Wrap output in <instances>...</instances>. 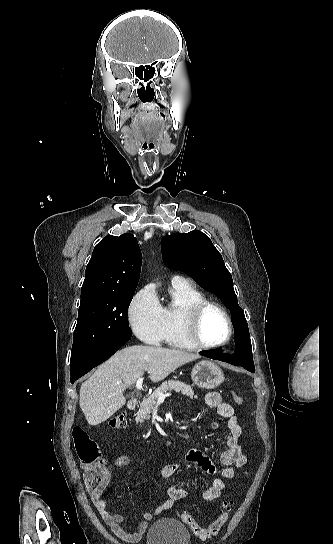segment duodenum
I'll list each match as a JSON object with an SVG mask.
<instances>
[{"instance_id":"duodenum-1","label":"duodenum","mask_w":333,"mask_h":544,"mask_svg":"<svg viewBox=\"0 0 333 544\" xmlns=\"http://www.w3.org/2000/svg\"><path fill=\"white\" fill-rule=\"evenodd\" d=\"M137 405H138V399L137 398H132L128 402V408L131 409V410L135 409L137 407Z\"/></svg>"}]
</instances>
